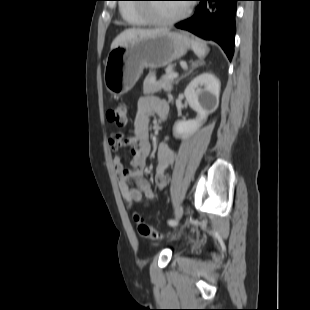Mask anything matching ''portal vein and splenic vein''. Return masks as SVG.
I'll use <instances>...</instances> for the list:
<instances>
[{"label":"portal vein and splenic vein","instance_id":"obj_1","mask_svg":"<svg viewBox=\"0 0 310 310\" xmlns=\"http://www.w3.org/2000/svg\"><path fill=\"white\" fill-rule=\"evenodd\" d=\"M178 77V73L172 72L167 76V79H175Z\"/></svg>","mask_w":310,"mask_h":310}]
</instances>
